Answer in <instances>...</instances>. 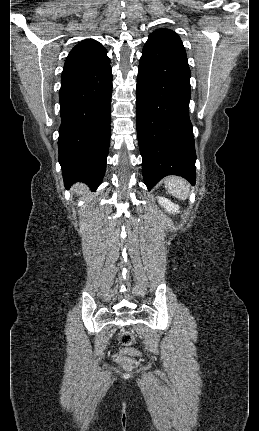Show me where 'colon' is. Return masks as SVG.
<instances>
[{
	"mask_svg": "<svg viewBox=\"0 0 259 431\" xmlns=\"http://www.w3.org/2000/svg\"><path fill=\"white\" fill-rule=\"evenodd\" d=\"M134 342V335L131 331L125 330L119 335V343L123 346V349L115 354L116 362L126 370H134L137 367V361L127 354L137 355L139 352L135 349L130 348Z\"/></svg>",
	"mask_w": 259,
	"mask_h": 431,
	"instance_id": "5ec220e1",
	"label": "colon"
}]
</instances>
